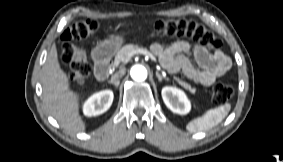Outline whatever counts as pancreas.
Masks as SVG:
<instances>
[{"label": "pancreas", "instance_id": "pancreas-1", "mask_svg": "<svg viewBox=\"0 0 283 162\" xmlns=\"http://www.w3.org/2000/svg\"><path fill=\"white\" fill-rule=\"evenodd\" d=\"M141 50H147V49L141 48L133 44H128V45L123 46L121 50L115 56L114 64L117 65L119 63H125L128 55L133 54V53L136 54L137 51H141ZM174 78L184 89L188 90L192 94L196 93V89L191 87L188 83L180 80L178 77H174Z\"/></svg>", "mask_w": 283, "mask_h": 162}]
</instances>
